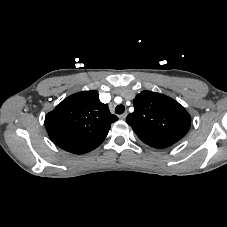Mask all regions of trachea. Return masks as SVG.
Listing matches in <instances>:
<instances>
[{
  "mask_svg": "<svg viewBox=\"0 0 227 227\" xmlns=\"http://www.w3.org/2000/svg\"><path fill=\"white\" fill-rule=\"evenodd\" d=\"M124 111H125V106H124V105H118V106L115 108L116 114H122Z\"/></svg>",
  "mask_w": 227,
  "mask_h": 227,
  "instance_id": "1",
  "label": "trachea"
}]
</instances>
